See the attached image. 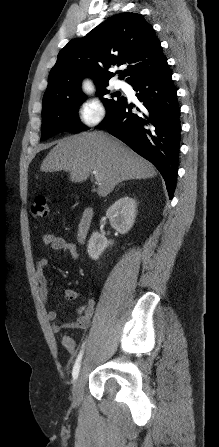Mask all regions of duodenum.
Wrapping results in <instances>:
<instances>
[{
    "mask_svg": "<svg viewBox=\"0 0 219 447\" xmlns=\"http://www.w3.org/2000/svg\"><path fill=\"white\" fill-rule=\"evenodd\" d=\"M93 219H94L93 208L85 209L81 218H80L78 228H77V238L79 241L82 242L87 237V235L90 231Z\"/></svg>",
    "mask_w": 219,
    "mask_h": 447,
    "instance_id": "1",
    "label": "duodenum"
}]
</instances>
